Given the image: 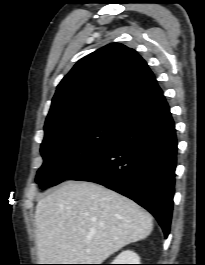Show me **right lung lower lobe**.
Listing matches in <instances>:
<instances>
[{
	"mask_svg": "<svg viewBox=\"0 0 205 265\" xmlns=\"http://www.w3.org/2000/svg\"><path fill=\"white\" fill-rule=\"evenodd\" d=\"M176 155L175 125L162 95L124 122L111 142L68 179L95 182L129 197L154 215L167 237Z\"/></svg>",
	"mask_w": 205,
	"mask_h": 265,
	"instance_id": "98d812e1",
	"label": "right lung lower lobe"
}]
</instances>
